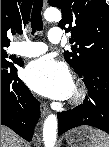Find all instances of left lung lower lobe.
I'll return each instance as SVG.
<instances>
[{
  "label": "left lung lower lobe",
  "instance_id": "obj_1",
  "mask_svg": "<svg viewBox=\"0 0 109 147\" xmlns=\"http://www.w3.org/2000/svg\"><path fill=\"white\" fill-rule=\"evenodd\" d=\"M89 96L73 110L58 113L59 135L81 125H89L109 134V62L93 61L81 76Z\"/></svg>",
  "mask_w": 109,
  "mask_h": 147
}]
</instances>
